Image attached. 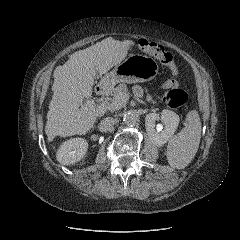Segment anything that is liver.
<instances>
[{
  "label": "liver",
  "instance_id": "obj_1",
  "mask_svg": "<svg viewBox=\"0 0 240 240\" xmlns=\"http://www.w3.org/2000/svg\"><path fill=\"white\" fill-rule=\"evenodd\" d=\"M133 41L106 38L86 49L73 53L69 60L54 70L53 96L47 113L45 133L51 142L56 136L84 135L106 107L81 111L85 98L92 95L96 74H106L127 56Z\"/></svg>",
  "mask_w": 240,
  "mask_h": 240
}]
</instances>
